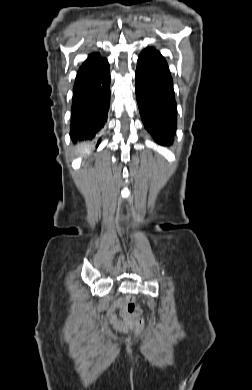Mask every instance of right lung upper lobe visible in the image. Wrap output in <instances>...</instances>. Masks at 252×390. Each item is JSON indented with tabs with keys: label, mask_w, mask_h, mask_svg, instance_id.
Returning a JSON list of instances; mask_svg holds the SVG:
<instances>
[{
	"label": "right lung upper lobe",
	"mask_w": 252,
	"mask_h": 390,
	"mask_svg": "<svg viewBox=\"0 0 252 390\" xmlns=\"http://www.w3.org/2000/svg\"><path fill=\"white\" fill-rule=\"evenodd\" d=\"M108 65L107 60L102 58L99 54H90L88 59L80 67L76 77L96 74Z\"/></svg>",
	"instance_id": "right-lung-upper-lobe-1"
}]
</instances>
